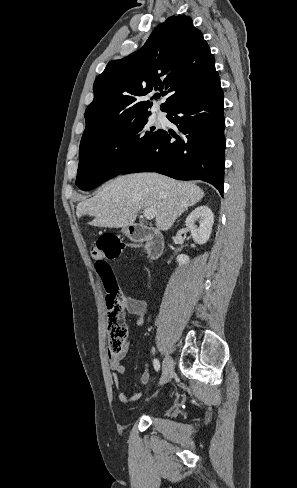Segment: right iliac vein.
<instances>
[{"label":"right iliac vein","mask_w":297,"mask_h":488,"mask_svg":"<svg viewBox=\"0 0 297 488\" xmlns=\"http://www.w3.org/2000/svg\"><path fill=\"white\" fill-rule=\"evenodd\" d=\"M173 370V359L169 355H166L163 361L162 375L159 382L160 385L165 384L170 380L171 375L173 374Z\"/></svg>","instance_id":"63e3f726"}]
</instances>
